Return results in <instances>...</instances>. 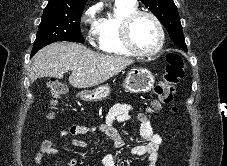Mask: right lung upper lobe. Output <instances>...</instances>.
Returning <instances> with one entry per match:
<instances>
[{
	"instance_id": "obj_1",
	"label": "right lung upper lobe",
	"mask_w": 227,
	"mask_h": 166,
	"mask_svg": "<svg viewBox=\"0 0 227 166\" xmlns=\"http://www.w3.org/2000/svg\"><path fill=\"white\" fill-rule=\"evenodd\" d=\"M87 0H49L44 10L67 11L81 10Z\"/></svg>"
}]
</instances>
